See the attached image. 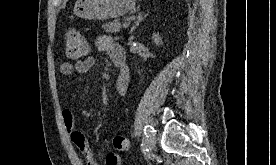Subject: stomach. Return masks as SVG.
Wrapping results in <instances>:
<instances>
[{
  "instance_id": "obj_1",
  "label": "stomach",
  "mask_w": 276,
  "mask_h": 165,
  "mask_svg": "<svg viewBox=\"0 0 276 165\" xmlns=\"http://www.w3.org/2000/svg\"><path fill=\"white\" fill-rule=\"evenodd\" d=\"M135 6V0H77L74 15L89 20L123 16Z\"/></svg>"
}]
</instances>
